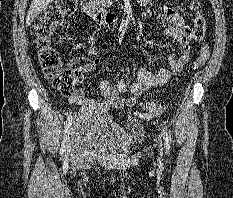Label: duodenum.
<instances>
[{
    "mask_svg": "<svg viewBox=\"0 0 233 198\" xmlns=\"http://www.w3.org/2000/svg\"><path fill=\"white\" fill-rule=\"evenodd\" d=\"M82 12L91 16L98 24L111 25L118 21V17L110 12L99 10L90 0H84Z\"/></svg>",
    "mask_w": 233,
    "mask_h": 198,
    "instance_id": "1",
    "label": "duodenum"
}]
</instances>
